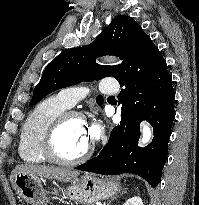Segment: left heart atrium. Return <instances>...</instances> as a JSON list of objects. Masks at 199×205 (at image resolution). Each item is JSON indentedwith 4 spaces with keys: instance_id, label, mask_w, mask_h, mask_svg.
Listing matches in <instances>:
<instances>
[{
    "instance_id": "39dd6f15",
    "label": "left heart atrium",
    "mask_w": 199,
    "mask_h": 205,
    "mask_svg": "<svg viewBox=\"0 0 199 205\" xmlns=\"http://www.w3.org/2000/svg\"><path fill=\"white\" fill-rule=\"evenodd\" d=\"M87 133L91 139H98L102 135V129L98 124H92L87 127Z\"/></svg>"
}]
</instances>
